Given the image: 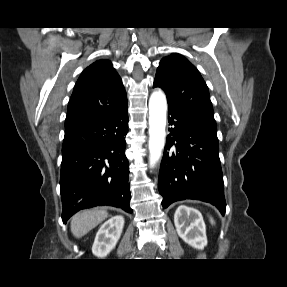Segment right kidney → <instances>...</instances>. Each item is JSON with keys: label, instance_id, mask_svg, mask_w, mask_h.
<instances>
[{"label": "right kidney", "instance_id": "1", "mask_svg": "<svg viewBox=\"0 0 287 287\" xmlns=\"http://www.w3.org/2000/svg\"><path fill=\"white\" fill-rule=\"evenodd\" d=\"M124 226L123 216H114L107 220L98 230L92 253L97 257H105L115 248Z\"/></svg>", "mask_w": 287, "mask_h": 287}]
</instances>
